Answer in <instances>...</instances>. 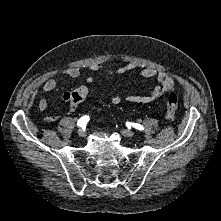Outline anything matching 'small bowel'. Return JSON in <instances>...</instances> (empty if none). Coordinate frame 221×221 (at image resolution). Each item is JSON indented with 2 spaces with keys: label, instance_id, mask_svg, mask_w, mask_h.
Wrapping results in <instances>:
<instances>
[{
  "label": "small bowel",
  "instance_id": "1",
  "mask_svg": "<svg viewBox=\"0 0 221 221\" xmlns=\"http://www.w3.org/2000/svg\"><path fill=\"white\" fill-rule=\"evenodd\" d=\"M135 68H136V66L133 64H127V65L121 66L119 68H116L114 70L107 69L106 67H104L98 63H94L90 66V70L93 72L104 71L110 75H124L126 73L133 71ZM62 74L68 78L76 79V78L80 77L81 69L77 66L68 67L67 69H65L62 72ZM141 76L143 78H147V79H155L158 84L155 86V88H153L146 95H134V94L128 95L126 97V101H128L130 103H135V104H147V103H150V102L162 97L163 95H165L166 93H168L174 89V79L172 78V76H170L169 74H167L165 72H159L153 68H146L141 71ZM86 80L88 83H92L94 81V77L88 76ZM60 83H61L60 78H50V79L46 80L44 82V84L42 85V91L46 92V93L52 92L58 88ZM82 87H85V86H81L79 88H82ZM78 89H76V90H78ZM76 90H74V91H76ZM74 91L63 93L62 99L65 102H68L71 104L70 97ZM121 101H122V97L119 95L113 96L110 100L111 104H113V105H118ZM38 107L40 110L44 111L48 107V102L45 99H42L39 101ZM57 119H58L57 114H48L44 117V120L47 122H54Z\"/></svg>",
  "mask_w": 221,
  "mask_h": 221
}]
</instances>
